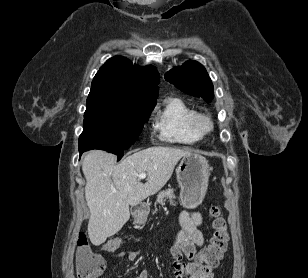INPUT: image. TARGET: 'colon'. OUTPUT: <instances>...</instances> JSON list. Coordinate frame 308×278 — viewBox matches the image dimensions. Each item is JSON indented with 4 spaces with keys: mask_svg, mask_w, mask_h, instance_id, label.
<instances>
[{
    "mask_svg": "<svg viewBox=\"0 0 308 278\" xmlns=\"http://www.w3.org/2000/svg\"><path fill=\"white\" fill-rule=\"evenodd\" d=\"M213 233L208 245L197 255V261L209 268L216 267L222 259L228 245L227 223L218 207L210 209ZM120 239L106 240L102 244L101 253H115L119 249ZM76 270L78 278H98L104 270L103 258L95 253L85 234L81 233L77 240Z\"/></svg>",
    "mask_w": 308,
    "mask_h": 278,
    "instance_id": "colon-1",
    "label": "colon"
}]
</instances>
